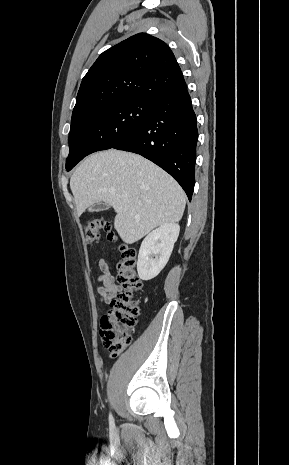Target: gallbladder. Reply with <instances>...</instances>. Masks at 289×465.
Segmentation results:
<instances>
[{"mask_svg":"<svg viewBox=\"0 0 289 465\" xmlns=\"http://www.w3.org/2000/svg\"><path fill=\"white\" fill-rule=\"evenodd\" d=\"M109 208V205L106 204V203H102V202H98L94 205H92L90 208H89V211L91 212H98V211H103V210H107Z\"/></svg>","mask_w":289,"mask_h":465,"instance_id":"gallbladder-1","label":"gallbladder"}]
</instances>
